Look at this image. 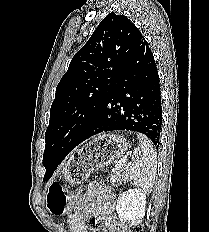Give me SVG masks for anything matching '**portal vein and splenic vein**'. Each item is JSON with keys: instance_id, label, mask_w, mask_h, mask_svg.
Returning <instances> with one entry per match:
<instances>
[{"instance_id": "18ae733b", "label": "portal vein and splenic vein", "mask_w": 209, "mask_h": 232, "mask_svg": "<svg viewBox=\"0 0 209 232\" xmlns=\"http://www.w3.org/2000/svg\"><path fill=\"white\" fill-rule=\"evenodd\" d=\"M127 160H128L127 157H123L120 160H118L116 165H115V169L121 167V165L124 164Z\"/></svg>"}]
</instances>
